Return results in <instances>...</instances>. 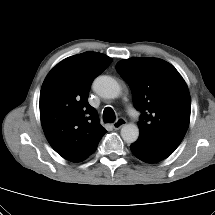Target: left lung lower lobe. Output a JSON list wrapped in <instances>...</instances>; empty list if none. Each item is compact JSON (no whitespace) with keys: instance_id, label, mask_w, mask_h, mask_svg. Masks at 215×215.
<instances>
[{"instance_id":"1","label":"left lung lower lobe","mask_w":215,"mask_h":215,"mask_svg":"<svg viewBox=\"0 0 215 215\" xmlns=\"http://www.w3.org/2000/svg\"><path fill=\"white\" fill-rule=\"evenodd\" d=\"M130 149L135 157L146 163H157L171 155V152L159 149L139 139L131 144Z\"/></svg>"}]
</instances>
